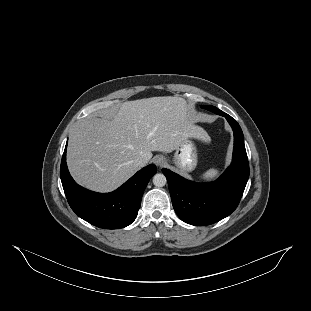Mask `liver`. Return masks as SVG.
Listing matches in <instances>:
<instances>
[{"label": "liver", "mask_w": 311, "mask_h": 311, "mask_svg": "<svg viewBox=\"0 0 311 311\" xmlns=\"http://www.w3.org/2000/svg\"><path fill=\"white\" fill-rule=\"evenodd\" d=\"M180 97L125 102L112 120L87 117L72 131L67 152L75 180L90 189L112 190L140 167L152 152L171 154L187 140L211 144L208 134L187 114ZM142 157L141 165L135 159Z\"/></svg>", "instance_id": "liver-1"}]
</instances>
